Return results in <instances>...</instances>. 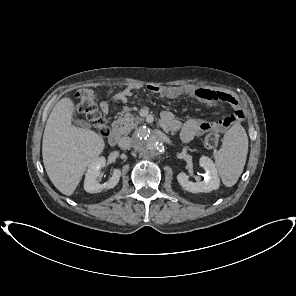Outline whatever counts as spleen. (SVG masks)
I'll list each match as a JSON object with an SVG mask.
<instances>
[{
	"label": "spleen",
	"mask_w": 296,
	"mask_h": 296,
	"mask_svg": "<svg viewBox=\"0 0 296 296\" xmlns=\"http://www.w3.org/2000/svg\"><path fill=\"white\" fill-rule=\"evenodd\" d=\"M248 153V137L240 124H234L224 135L221 148L215 153V165L223 184L231 187L241 176Z\"/></svg>",
	"instance_id": "1"
}]
</instances>
